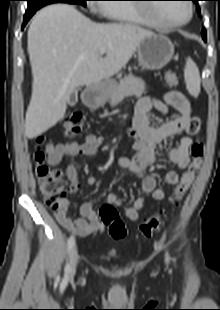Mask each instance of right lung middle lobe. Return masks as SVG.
Returning <instances> with one entry per match:
<instances>
[{
  "label": "right lung middle lobe",
  "mask_w": 220,
  "mask_h": 310,
  "mask_svg": "<svg viewBox=\"0 0 220 310\" xmlns=\"http://www.w3.org/2000/svg\"><path fill=\"white\" fill-rule=\"evenodd\" d=\"M28 1V10H38L41 7L57 2L70 3V4H80L86 6L87 0H27Z\"/></svg>",
  "instance_id": "obj_1"
}]
</instances>
